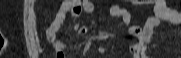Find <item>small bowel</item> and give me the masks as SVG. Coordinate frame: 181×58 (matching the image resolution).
<instances>
[{"label":"small bowel","instance_id":"c3829d8e","mask_svg":"<svg viewBox=\"0 0 181 58\" xmlns=\"http://www.w3.org/2000/svg\"><path fill=\"white\" fill-rule=\"evenodd\" d=\"M83 11L94 13V4L89 0H64L61 3L54 20L46 31L47 39L54 44L57 54L63 53L65 48V45L58 40L57 34L60 31L67 15L70 14L74 19H76ZM111 12L115 16L122 17L128 27L129 33L138 38V42L129 47L132 58H149L147 50L152 44L154 31L156 28L160 27L161 22L164 21L171 24L181 23V12L169 7L165 0L155 1L154 16L148 18L142 28L130 24V15L127 10L115 5L111 8ZM74 30L78 34H84L88 31V28H80L78 25H74ZM153 45L155 46V44ZM95 49L99 53L105 52V49L101 46H97Z\"/></svg>","mask_w":181,"mask_h":58}]
</instances>
